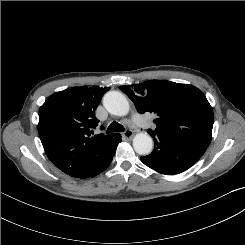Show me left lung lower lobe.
<instances>
[{"instance_id":"0a47b994","label":"left lung lower lobe","mask_w":245,"mask_h":245,"mask_svg":"<svg viewBox=\"0 0 245 245\" xmlns=\"http://www.w3.org/2000/svg\"><path fill=\"white\" fill-rule=\"evenodd\" d=\"M154 149L141 161L155 171L169 175L179 174L193 166L204 154L207 146L182 137L150 133Z\"/></svg>"}]
</instances>
